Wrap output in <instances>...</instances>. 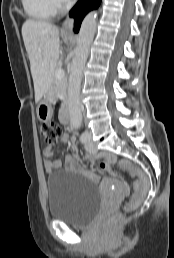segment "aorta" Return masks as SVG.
Returning <instances> with one entry per match:
<instances>
[{
	"mask_svg": "<svg viewBox=\"0 0 174 258\" xmlns=\"http://www.w3.org/2000/svg\"><path fill=\"white\" fill-rule=\"evenodd\" d=\"M97 26V14L92 11L84 18L77 38V48L72 60L68 85V108L70 123L74 129L82 124V110L80 105V87L82 71L89 54Z\"/></svg>",
	"mask_w": 174,
	"mask_h": 258,
	"instance_id": "obj_1",
	"label": "aorta"
}]
</instances>
